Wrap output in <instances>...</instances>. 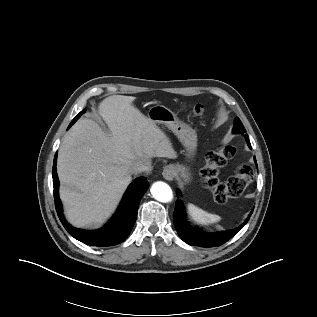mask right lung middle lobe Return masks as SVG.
Returning a JSON list of instances; mask_svg holds the SVG:
<instances>
[{"instance_id": "dd1d6c3e", "label": "right lung middle lobe", "mask_w": 317, "mask_h": 317, "mask_svg": "<svg viewBox=\"0 0 317 317\" xmlns=\"http://www.w3.org/2000/svg\"><path fill=\"white\" fill-rule=\"evenodd\" d=\"M84 112H85V110L81 111L73 120H77ZM71 124L72 123H70V125Z\"/></svg>"}]
</instances>
